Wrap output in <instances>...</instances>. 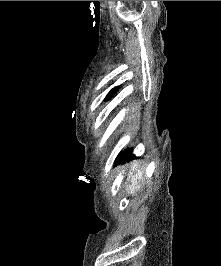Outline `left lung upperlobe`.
I'll list each match as a JSON object with an SVG mask.
<instances>
[{
    "label": "left lung upper lobe",
    "mask_w": 221,
    "mask_h": 266,
    "mask_svg": "<svg viewBox=\"0 0 221 266\" xmlns=\"http://www.w3.org/2000/svg\"><path fill=\"white\" fill-rule=\"evenodd\" d=\"M117 91V87L113 88L106 96V99L110 98Z\"/></svg>",
    "instance_id": "1"
}]
</instances>
